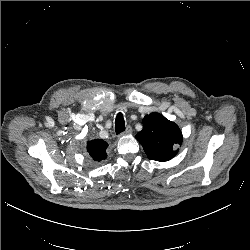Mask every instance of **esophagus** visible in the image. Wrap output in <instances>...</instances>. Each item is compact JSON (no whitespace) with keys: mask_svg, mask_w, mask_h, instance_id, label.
I'll return each mask as SVG.
<instances>
[{"mask_svg":"<svg viewBox=\"0 0 250 250\" xmlns=\"http://www.w3.org/2000/svg\"><path fill=\"white\" fill-rule=\"evenodd\" d=\"M132 133V128L131 126H127L126 130L124 132H122L119 136H125V135H129Z\"/></svg>","mask_w":250,"mask_h":250,"instance_id":"obj_1","label":"esophagus"}]
</instances>
